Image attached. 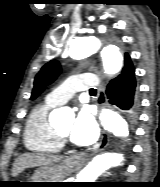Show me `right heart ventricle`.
Wrapping results in <instances>:
<instances>
[{"mask_svg":"<svg viewBox=\"0 0 160 187\" xmlns=\"http://www.w3.org/2000/svg\"><path fill=\"white\" fill-rule=\"evenodd\" d=\"M52 107L54 106L45 101L31 111L23 136L27 150L47 155L58 154L62 150L63 144L56 129L47 119V114Z\"/></svg>","mask_w":160,"mask_h":187,"instance_id":"right-heart-ventricle-1","label":"right heart ventricle"}]
</instances>
